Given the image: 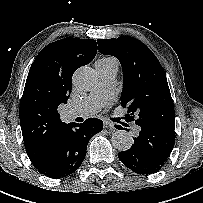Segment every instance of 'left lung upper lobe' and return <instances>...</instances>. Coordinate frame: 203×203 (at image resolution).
Returning <instances> with one entry per match:
<instances>
[{"mask_svg":"<svg viewBox=\"0 0 203 203\" xmlns=\"http://www.w3.org/2000/svg\"><path fill=\"white\" fill-rule=\"evenodd\" d=\"M97 42L102 54L115 56L122 65L121 105L128 109L127 121L174 131V105L167 78L153 52L129 36Z\"/></svg>","mask_w":203,"mask_h":203,"instance_id":"1","label":"left lung upper lobe"}]
</instances>
